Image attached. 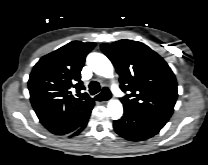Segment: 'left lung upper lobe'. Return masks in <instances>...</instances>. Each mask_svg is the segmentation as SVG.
<instances>
[{"label":"left lung upper lobe","instance_id":"5c2ea615","mask_svg":"<svg viewBox=\"0 0 208 165\" xmlns=\"http://www.w3.org/2000/svg\"><path fill=\"white\" fill-rule=\"evenodd\" d=\"M101 49L117 69L122 91L130 92L121 99L124 108L170 118L178 96L177 82L163 58L138 41L104 43Z\"/></svg>","mask_w":208,"mask_h":165}]
</instances>
